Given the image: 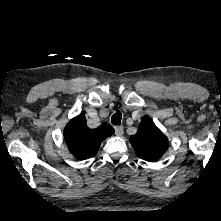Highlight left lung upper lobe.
Returning <instances> with one entry per match:
<instances>
[{
  "label": "left lung upper lobe",
  "instance_id": "5c2ea615",
  "mask_svg": "<svg viewBox=\"0 0 221 221\" xmlns=\"http://www.w3.org/2000/svg\"><path fill=\"white\" fill-rule=\"evenodd\" d=\"M129 140L136 155L149 162L157 161L168 148L167 137L148 119L140 123L137 133Z\"/></svg>",
  "mask_w": 221,
  "mask_h": 221
}]
</instances>
